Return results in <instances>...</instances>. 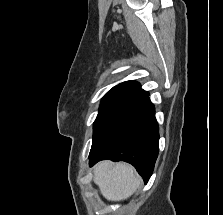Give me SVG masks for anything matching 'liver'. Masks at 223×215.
I'll use <instances>...</instances> for the list:
<instances>
[{"mask_svg": "<svg viewBox=\"0 0 223 215\" xmlns=\"http://www.w3.org/2000/svg\"><path fill=\"white\" fill-rule=\"evenodd\" d=\"M93 181L100 187L106 199L119 201L132 195L140 185L141 177L135 173L134 167L129 163H113V161H100L94 167Z\"/></svg>", "mask_w": 223, "mask_h": 215, "instance_id": "6515ba94", "label": "liver"}]
</instances>
